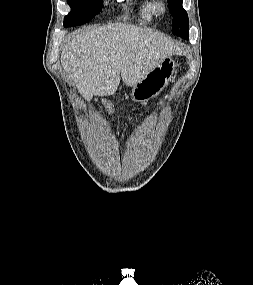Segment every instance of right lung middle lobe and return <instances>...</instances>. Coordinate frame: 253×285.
<instances>
[{
	"mask_svg": "<svg viewBox=\"0 0 253 285\" xmlns=\"http://www.w3.org/2000/svg\"><path fill=\"white\" fill-rule=\"evenodd\" d=\"M71 12L65 16L64 26H77L89 21L100 12L102 0H67Z\"/></svg>",
	"mask_w": 253,
	"mask_h": 285,
	"instance_id": "obj_1",
	"label": "right lung middle lobe"
}]
</instances>
